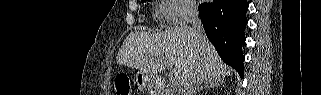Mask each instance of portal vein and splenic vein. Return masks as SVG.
Wrapping results in <instances>:
<instances>
[{
  "label": "portal vein and splenic vein",
  "instance_id": "1",
  "mask_svg": "<svg viewBox=\"0 0 321 95\" xmlns=\"http://www.w3.org/2000/svg\"><path fill=\"white\" fill-rule=\"evenodd\" d=\"M164 64V66H166L167 68L169 69H172V64L171 62H168V61H163L162 62ZM178 83L177 79L175 77H171L170 78V84L171 85H176Z\"/></svg>",
  "mask_w": 321,
  "mask_h": 95
}]
</instances>
